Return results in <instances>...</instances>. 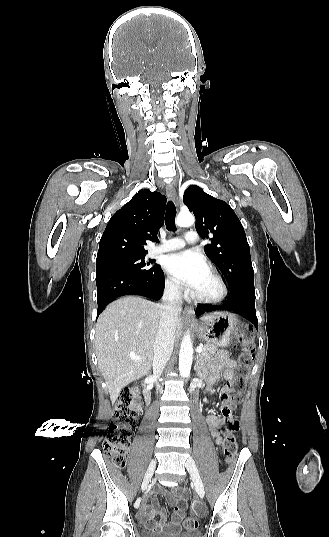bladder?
Masks as SVG:
<instances>
[{
	"label": "bladder",
	"mask_w": 329,
	"mask_h": 537,
	"mask_svg": "<svg viewBox=\"0 0 329 537\" xmlns=\"http://www.w3.org/2000/svg\"><path fill=\"white\" fill-rule=\"evenodd\" d=\"M142 537H200L198 531H190L186 533H163L151 530H142Z\"/></svg>",
	"instance_id": "bladder-1"
}]
</instances>
